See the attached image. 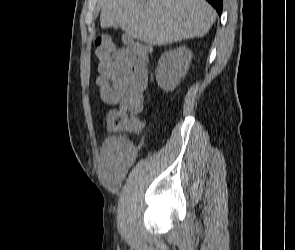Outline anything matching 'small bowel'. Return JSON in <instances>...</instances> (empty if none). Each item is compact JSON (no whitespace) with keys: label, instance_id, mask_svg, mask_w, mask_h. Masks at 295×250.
Instances as JSON below:
<instances>
[{"label":"small bowel","instance_id":"obj_1","mask_svg":"<svg viewBox=\"0 0 295 250\" xmlns=\"http://www.w3.org/2000/svg\"><path fill=\"white\" fill-rule=\"evenodd\" d=\"M148 59L149 51L133 54L127 48H119L114 68L96 80L102 102L111 106L130 105L141 111L148 85ZM127 150L121 137H111L102 146V163L114 180L125 173Z\"/></svg>","mask_w":295,"mask_h":250}]
</instances>
